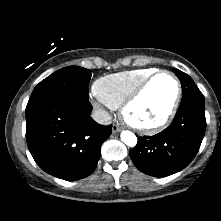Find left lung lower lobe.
Instances as JSON below:
<instances>
[{"label":"left lung lower lobe","instance_id":"obj_1","mask_svg":"<svg viewBox=\"0 0 221 221\" xmlns=\"http://www.w3.org/2000/svg\"><path fill=\"white\" fill-rule=\"evenodd\" d=\"M206 128L205 102L180 105L172 124L155 136L140 137L130 151L135 166L154 177L174 174L196 156Z\"/></svg>","mask_w":221,"mask_h":221}]
</instances>
